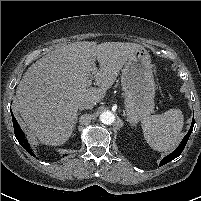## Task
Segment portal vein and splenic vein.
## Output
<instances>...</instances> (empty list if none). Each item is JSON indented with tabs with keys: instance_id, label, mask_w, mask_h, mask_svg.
Instances as JSON below:
<instances>
[{
	"instance_id": "1",
	"label": "portal vein and splenic vein",
	"mask_w": 201,
	"mask_h": 201,
	"mask_svg": "<svg viewBox=\"0 0 201 201\" xmlns=\"http://www.w3.org/2000/svg\"><path fill=\"white\" fill-rule=\"evenodd\" d=\"M97 68L95 66L92 67V74H96ZM92 77L87 81V86L92 84Z\"/></svg>"
}]
</instances>
